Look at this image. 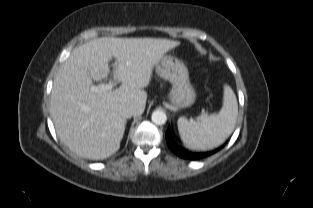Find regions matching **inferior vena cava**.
Segmentation results:
<instances>
[{
    "label": "inferior vena cava",
    "instance_id": "602c4592",
    "mask_svg": "<svg viewBox=\"0 0 313 208\" xmlns=\"http://www.w3.org/2000/svg\"><path fill=\"white\" fill-rule=\"evenodd\" d=\"M119 114L124 118H130L135 114V107L132 104H122L118 108Z\"/></svg>",
    "mask_w": 313,
    "mask_h": 208
}]
</instances>
